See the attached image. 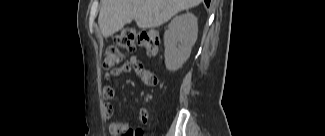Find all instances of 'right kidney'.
<instances>
[{
    "label": "right kidney",
    "mask_w": 325,
    "mask_h": 136,
    "mask_svg": "<svg viewBox=\"0 0 325 136\" xmlns=\"http://www.w3.org/2000/svg\"><path fill=\"white\" fill-rule=\"evenodd\" d=\"M197 17L192 13L176 16L164 33L165 65L169 71H177L189 58L197 40Z\"/></svg>",
    "instance_id": "ca27d5eb"
}]
</instances>
